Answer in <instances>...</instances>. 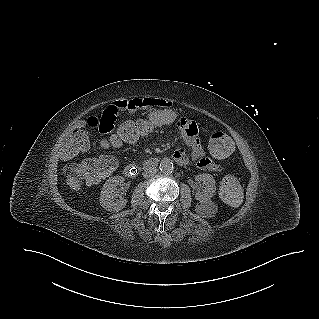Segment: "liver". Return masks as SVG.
Wrapping results in <instances>:
<instances>
[{"instance_id": "6515ba94", "label": "liver", "mask_w": 319, "mask_h": 319, "mask_svg": "<svg viewBox=\"0 0 319 319\" xmlns=\"http://www.w3.org/2000/svg\"><path fill=\"white\" fill-rule=\"evenodd\" d=\"M66 181L67 185H69L72 190L80 192L81 184L79 183L80 181L78 179L68 175Z\"/></svg>"}]
</instances>
